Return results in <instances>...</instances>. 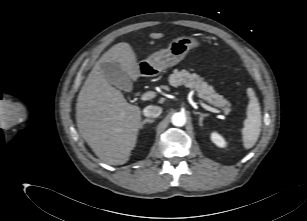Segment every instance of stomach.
I'll use <instances>...</instances> for the list:
<instances>
[{
	"label": "stomach",
	"mask_w": 307,
	"mask_h": 221,
	"mask_svg": "<svg viewBox=\"0 0 307 221\" xmlns=\"http://www.w3.org/2000/svg\"><path fill=\"white\" fill-rule=\"evenodd\" d=\"M200 42L191 36H181L171 41L166 49L151 54L138 66L144 68V74H156L178 64L193 48L199 47Z\"/></svg>",
	"instance_id": "stomach-1"
}]
</instances>
